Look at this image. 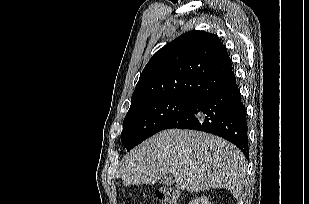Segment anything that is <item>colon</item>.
<instances>
[{
    "label": "colon",
    "instance_id": "5ec220e1",
    "mask_svg": "<svg viewBox=\"0 0 309 204\" xmlns=\"http://www.w3.org/2000/svg\"><path fill=\"white\" fill-rule=\"evenodd\" d=\"M155 198L162 204H177L179 193L174 188L160 187L156 190Z\"/></svg>",
    "mask_w": 309,
    "mask_h": 204
}]
</instances>
